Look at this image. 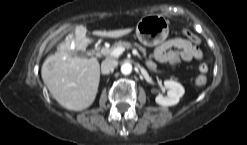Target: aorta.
I'll list each match as a JSON object with an SVG mask.
<instances>
[{
    "label": "aorta",
    "instance_id": "obj_1",
    "mask_svg": "<svg viewBox=\"0 0 247 145\" xmlns=\"http://www.w3.org/2000/svg\"><path fill=\"white\" fill-rule=\"evenodd\" d=\"M121 72L124 75H128L132 72V65L128 62L122 64L121 66Z\"/></svg>",
    "mask_w": 247,
    "mask_h": 145
}]
</instances>
